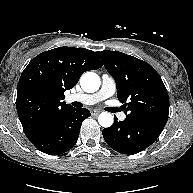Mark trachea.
<instances>
[{
  "instance_id": "trachea-1",
  "label": "trachea",
  "mask_w": 193,
  "mask_h": 193,
  "mask_svg": "<svg viewBox=\"0 0 193 193\" xmlns=\"http://www.w3.org/2000/svg\"><path fill=\"white\" fill-rule=\"evenodd\" d=\"M118 110H119L118 108H109V111L112 112V113H114V112H116Z\"/></svg>"
}]
</instances>
